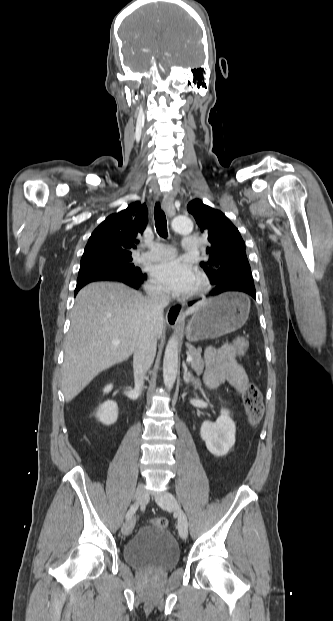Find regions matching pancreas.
Segmentation results:
<instances>
[{
    "label": "pancreas",
    "mask_w": 333,
    "mask_h": 621,
    "mask_svg": "<svg viewBox=\"0 0 333 621\" xmlns=\"http://www.w3.org/2000/svg\"><path fill=\"white\" fill-rule=\"evenodd\" d=\"M187 355L192 356L193 360L190 363L191 367L197 372V374H201L203 372L204 369V361L201 357V349L200 348H194L192 345L187 344Z\"/></svg>",
    "instance_id": "obj_1"
}]
</instances>
